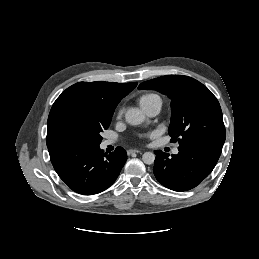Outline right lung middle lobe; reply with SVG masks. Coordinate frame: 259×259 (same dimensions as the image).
Instances as JSON below:
<instances>
[{
  "instance_id": "right-lung-middle-lobe-1",
  "label": "right lung middle lobe",
  "mask_w": 259,
  "mask_h": 259,
  "mask_svg": "<svg viewBox=\"0 0 259 259\" xmlns=\"http://www.w3.org/2000/svg\"><path fill=\"white\" fill-rule=\"evenodd\" d=\"M112 116H98L86 111L70 109L56 119L54 143L57 147L100 145L101 133L108 129Z\"/></svg>"
}]
</instances>
